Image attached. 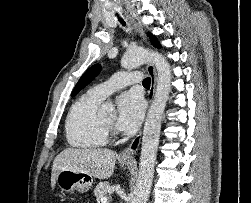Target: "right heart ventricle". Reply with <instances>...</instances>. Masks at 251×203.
Here are the masks:
<instances>
[{"instance_id": "1", "label": "right heart ventricle", "mask_w": 251, "mask_h": 203, "mask_svg": "<svg viewBox=\"0 0 251 203\" xmlns=\"http://www.w3.org/2000/svg\"><path fill=\"white\" fill-rule=\"evenodd\" d=\"M102 100L89 93L71 106L65 123L68 143L76 148L96 149L108 142V133L101 123L98 108Z\"/></svg>"}]
</instances>
